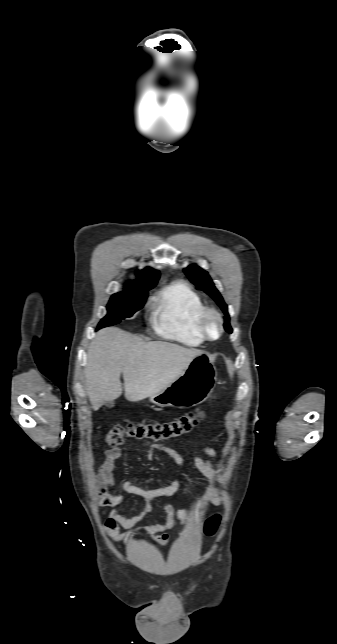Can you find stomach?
Segmentation results:
<instances>
[{"label": "stomach", "mask_w": 337, "mask_h": 644, "mask_svg": "<svg viewBox=\"0 0 337 644\" xmlns=\"http://www.w3.org/2000/svg\"><path fill=\"white\" fill-rule=\"evenodd\" d=\"M215 382L213 360L209 354L202 352L192 359L183 374L172 384L150 396V401L160 407H193L210 397Z\"/></svg>", "instance_id": "stomach-1"}]
</instances>
